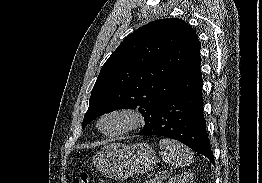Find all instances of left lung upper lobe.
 Returning <instances> with one entry per match:
<instances>
[{
  "label": "left lung upper lobe",
  "instance_id": "obj_1",
  "mask_svg": "<svg viewBox=\"0 0 262 183\" xmlns=\"http://www.w3.org/2000/svg\"><path fill=\"white\" fill-rule=\"evenodd\" d=\"M200 48L195 31L181 19L155 20L128 35L101 68L83 128L121 108H138L145 119L142 130L147 128L161 103L199 60Z\"/></svg>",
  "mask_w": 262,
  "mask_h": 183
}]
</instances>
